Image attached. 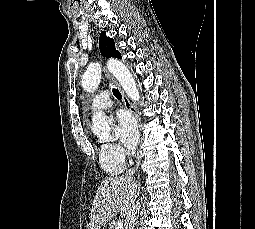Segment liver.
<instances>
[{
  "mask_svg": "<svg viewBox=\"0 0 255 229\" xmlns=\"http://www.w3.org/2000/svg\"><path fill=\"white\" fill-rule=\"evenodd\" d=\"M138 195L139 185L135 180L125 176L103 180L92 203L87 229H100L118 212L124 217L127 216Z\"/></svg>",
  "mask_w": 255,
  "mask_h": 229,
  "instance_id": "1",
  "label": "liver"
}]
</instances>
